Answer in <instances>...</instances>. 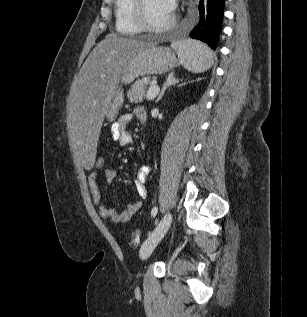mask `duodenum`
I'll use <instances>...</instances> for the list:
<instances>
[{"label":"duodenum","mask_w":307,"mask_h":317,"mask_svg":"<svg viewBox=\"0 0 307 317\" xmlns=\"http://www.w3.org/2000/svg\"><path fill=\"white\" fill-rule=\"evenodd\" d=\"M146 120H147V118H143V119H142L143 122H146Z\"/></svg>","instance_id":"obj_1"}]
</instances>
